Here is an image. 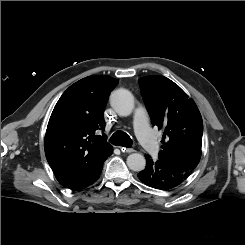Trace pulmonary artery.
Here are the masks:
<instances>
[{
  "label": "pulmonary artery",
  "instance_id": "e3ab8cb5",
  "mask_svg": "<svg viewBox=\"0 0 245 245\" xmlns=\"http://www.w3.org/2000/svg\"><path fill=\"white\" fill-rule=\"evenodd\" d=\"M136 135L143 148L150 154H156L158 151V142L149 125L148 115L143 108H138L133 118Z\"/></svg>",
  "mask_w": 245,
  "mask_h": 245
}]
</instances>
